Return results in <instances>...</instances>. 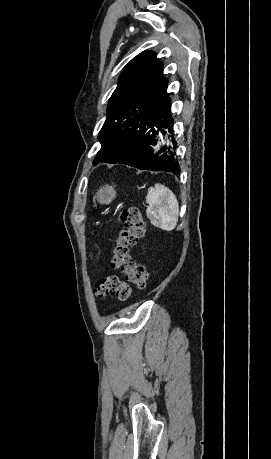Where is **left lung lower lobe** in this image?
Instances as JSON below:
<instances>
[{"label":"left lung lower lobe","mask_w":271,"mask_h":459,"mask_svg":"<svg viewBox=\"0 0 271 459\" xmlns=\"http://www.w3.org/2000/svg\"><path fill=\"white\" fill-rule=\"evenodd\" d=\"M167 80L155 93L154 104L140 117L130 118L109 136V151L101 162L123 163L139 169L180 173L173 138L171 104ZM171 134V135H170ZM160 137L170 138L173 146H161ZM150 145L159 146L153 155Z\"/></svg>","instance_id":"left-lung-lower-lobe-1"}]
</instances>
